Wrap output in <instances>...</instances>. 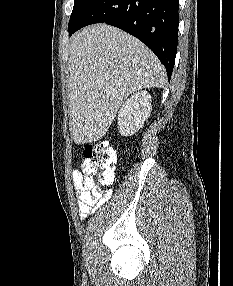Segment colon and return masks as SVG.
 Masks as SVG:
<instances>
[{"mask_svg": "<svg viewBox=\"0 0 233 286\" xmlns=\"http://www.w3.org/2000/svg\"><path fill=\"white\" fill-rule=\"evenodd\" d=\"M85 160L90 163L88 170L100 186H109L114 180V164L116 153L106 141L85 144L83 147Z\"/></svg>", "mask_w": 233, "mask_h": 286, "instance_id": "5ec220e1", "label": "colon"}]
</instances>
